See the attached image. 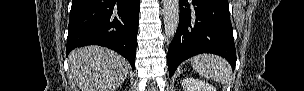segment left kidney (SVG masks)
Instances as JSON below:
<instances>
[{"label": "left kidney", "mask_w": 304, "mask_h": 91, "mask_svg": "<svg viewBox=\"0 0 304 91\" xmlns=\"http://www.w3.org/2000/svg\"><path fill=\"white\" fill-rule=\"evenodd\" d=\"M181 84L184 91H216L211 84L194 78H184Z\"/></svg>", "instance_id": "1"}]
</instances>
